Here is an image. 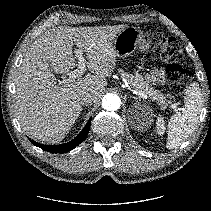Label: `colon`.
<instances>
[{
    "instance_id": "1",
    "label": "colon",
    "mask_w": 211,
    "mask_h": 211,
    "mask_svg": "<svg viewBox=\"0 0 211 211\" xmlns=\"http://www.w3.org/2000/svg\"><path fill=\"white\" fill-rule=\"evenodd\" d=\"M154 44L162 60L167 64L165 74L170 90L175 94H180L190 80V73L180 65L184 60L180 43L162 32H155Z\"/></svg>"
}]
</instances>
